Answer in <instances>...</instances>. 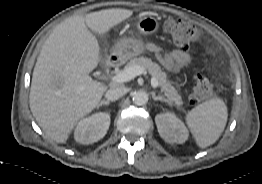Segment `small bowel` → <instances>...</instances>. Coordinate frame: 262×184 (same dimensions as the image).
Returning <instances> with one entry per match:
<instances>
[{"label":"small bowel","mask_w":262,"mask_h":184,"mask_svg":"<svg viewBox=\"0 0 262 184\" xmlns=\"http://www.w3.org/2000/svg\"><path fill=\"white\" fill-rule=\"evenodd\" d=\"M147 47L156 55L161 65L167 70L180 72L191 64V56L185 50L178 49L165 53L163 48L158 44L150 43Z\"/></svg>","instance_id":"obj_1"}]
</instances>
